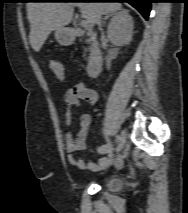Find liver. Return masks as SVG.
Returning a JSON list of instances; mask_svg holds the SVG:
<instances>
[{"label":"liver","mask_w":188,"mask_h":213,"mask_svg":"<svg viewBox=\"0 0 188 213\" xmlns=\"http://www.w3.org/2000/svg\"><path fill=\"white\" fill-rule=\"evenodd\" d=\"M74 7H79L81 16L94 26L98 15L115 14L122 5L119 2H28L29 40L35 52L41 50L52 31L71 22Z\"/></svg>","instance_id":"6515ba94"}]
</instances>
